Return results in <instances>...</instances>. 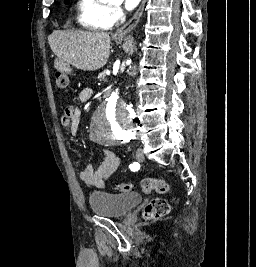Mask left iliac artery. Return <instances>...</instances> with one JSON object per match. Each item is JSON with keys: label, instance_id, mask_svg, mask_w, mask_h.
Here are the masks:
<instances>
[{"label": "left iliac artery", "instance_id": "obj_1", "mask_svg": "<svg viewBox=\"0 0 256 267\" xmlns=\"http://www.w3.org/2000/svg\"><path fill=\"white\" fill-rule=\"evenodd\" d=\"M129 168H130L131 170H138V169L140 168V165H139V163L134 162L133 164H130V165H129Z\"/></svg>", "mask_w": 256, "mask_h": 267}]
</instances>
